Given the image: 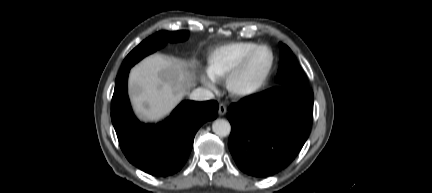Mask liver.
I'll return each mask as SVG.
<instances>
[{"mask_svg":"<svg viewBox=\"0 0 432 193\" xmlns=\"http://www.w3.org/2000/svg\"><path fill=\"white\" fill-rule=\"evenodd\" d=\"M196 80L195 72L185 61L151 55L130 72L133 109L144 121H159L188 94Z\"/></svg>","mask_w":432,"mask_h":193,"instance_id":"1","label":"liver"}]
</instances>
